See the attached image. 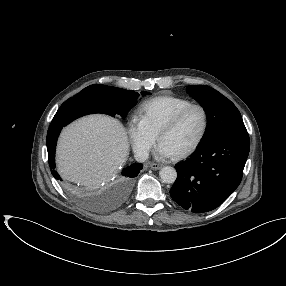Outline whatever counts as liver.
<instances>
[{
    "label": "liver",
    "instance_id": "1",
    "mask_svg": "<svg viewBox=\"0 0 286 286\" xmlns=\"http://www.w3.org/2000/svg\"><path fill=\"white\" fill-rule=\"evenodd\" d=\"M128 154L122 124L108 116L90 115L63 129L57 145V167L66 180L99 186L116 175Z\"/></svg>",
    "mask_w": 286,
    "mask_h": 286
}]
</instances>
